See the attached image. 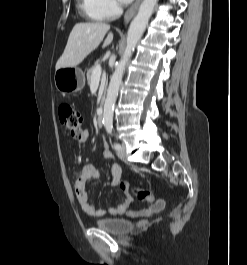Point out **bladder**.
Here are the masks:
<instances>
[{"label": "bladder", "instance_id": "1", "mask_svg": "<svg viewBox=\"0 0 247 265\" xmlns=\"http://www.w3.org/2000/svg\"><path fill=\"white\" fill-rule=\"evenodd\" d=\"M95 227L116 236H124L134 228V223L121 218L101 219L94 221Z\"/></svg>", "mask_w": 247, "mask_h": 265}]
</instances>
